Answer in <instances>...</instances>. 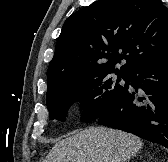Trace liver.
<instances>
[{"label": "liver", "mask_w": 168, "mask_h": 162, "mask_svg": "<svg viewBox=\"0 0 168 162\" xmlns=\"http://www.w3.org/2000/svg\"><path fill=\"white\" fill-rule=\"evenodd\" d=\"M142 147L133 134L90 127L56 143L43 162H129Z\"/></svg>", "instance_id": "6515ba94"}]
</instances>
